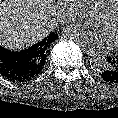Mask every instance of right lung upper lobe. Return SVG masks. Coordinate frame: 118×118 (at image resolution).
Here are the masks:
<instances>
[{
  "label": "right lung upper lobe",
  "mask_w": 118,
  "mask_h": 118,
  "mask_svg": "<svg viewBox=\"0 0 118 118\" xmlns=\"http://www.w3.org/2000/svg\"><path fill=\"white\" fill-rule=\"evenodd\" d=\"M56 39L57 35L54 32H52L50 33L47 39L38 42L37 44H34L33 46L30 47V49L35 53L37 70L39 71L43 70L46 63V58L48 56L49 47L51 43Z\"/></svg>",
  "instance_id": "1"
}]
</instances>
